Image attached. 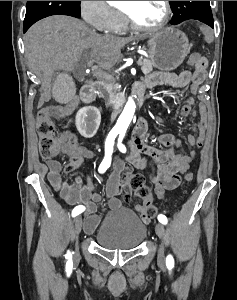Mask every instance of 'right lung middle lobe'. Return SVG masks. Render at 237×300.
I'll list each match as a JSON object with an SVG mask.
<instances>
[{"instance_id": "1", "label": "right lung middle lobe", "mask_w": 237, "mask_h": 300, "mask_svg": "<svg viewBox=\"0 0 237 300\" xmlns=\"http://www.w3.org/2000/svg\"><path fill=\"white\" fill-rule=\"evenodd\" d=\"M79 1H27L24 24H33L36 21L51 15H69L80 17Z\"/></svg>"}]
</instances>
